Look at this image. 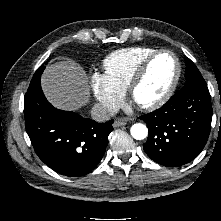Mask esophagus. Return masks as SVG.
Listing matches in <instances>:
<instances>
[{
    "label": "esophagus",
    "instance_id": "esophagus-1",
    "mask_svg": "<svg viewBox=\"0 0 221 221\" xmlns=\"http://www.w3.org/2000/svg\"><path fill=\"white\" fill-rule=\"evenodd\" d=\"M127 124L126 120H115L113 123L114 127H120V126H124Z\"/></svg>",
    "mask_w": 221,
    "mask_h": 221
}]
</instances>
